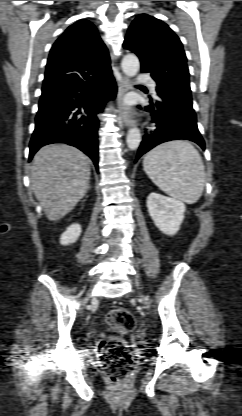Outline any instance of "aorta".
<instances>
[{
	"instance_id": "obj_1",
	"label": "aorta",
	"mask_w": 242,
	"mask_h": 416,
	"mask_svg": "<svg viewBox=\"0 0 242 416\" xmlns=\"http://www.w3.org/2000/svg\"><path fill=\"white\" fill-rule=\"evenodd\" d=\"M121 67L126 76L134 77L140 69L138 57L134 54L125 55L122 60ZM126 142L130 150H136L139 147L141 142V133L137 127H133L128 131Z\"/></svg>"
}]
</instances>
